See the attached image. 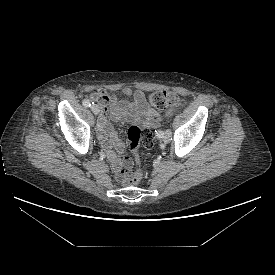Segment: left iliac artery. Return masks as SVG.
<instances>
[{"label":"left iliac artery","mask_w":275,"mask_h":275,"mask_svg":"<svg viewBox=\"0 0 275 275\" xmlns=\"http://www.w3.org/2000/svg\"><path fill=\"white\" fill-rule=\"evenodd\" d=\"M172 111H173V109H170L169 111L166 112V115H170L172 113ZM164 134L165 133L161 130L156 131V136L158 138H162L164 136Z\"/></svg>","instance_id":"1"}]
</instances>
